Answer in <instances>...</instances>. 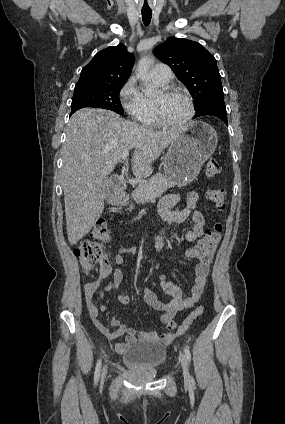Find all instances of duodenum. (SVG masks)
<instances>
[{"instance_id":"duodenum-1","label":"duodenum","mask_w":285,"mask_h":424,"mask_svg":"<svg viewBox=\"0 0 285 424\" xmlns=\"http://www.w3.org/2000/svg\"><path fill=\"white\" fill-rule=\"evenodd\" d=\"M110 186L113 194H118L124 190L125 181L121 176H113L110 180Z\"/></svg>"}]
</instances>
